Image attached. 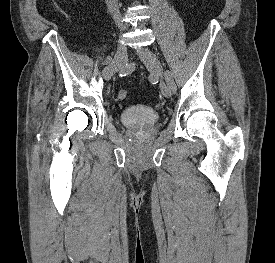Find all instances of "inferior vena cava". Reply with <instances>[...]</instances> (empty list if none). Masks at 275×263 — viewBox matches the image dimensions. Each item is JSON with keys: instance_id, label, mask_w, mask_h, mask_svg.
<instances>
[{"instance_id": "inferior-vena-cava-1", "label": "inferior vena cava", "mask_w": 275, "mask_h": 263, "mask_svg": "<svg viewBox=\"0 0 275 263\" xmlns=\"http://www.w3.org/2000/svg\"><path fill=\"white\" fill-rule=\"evenodd\" d=\"M106 4L109 12L111 13L116 25L120 29H125V26L121 23V16L118 7V0H106Z\"/></svg>"}]
</instances>
